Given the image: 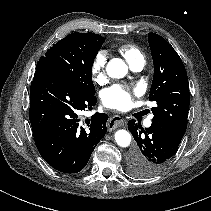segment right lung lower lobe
Masks as SVG:
<instances>
[{"label": "right lung lower lobe", "mask_w": 211, "mask_h": 211, "mask_svg": "<svg viewBox=\"0 0 211 211\" xmlns=\"http://www.w3.org/2000/svg\"><path fill=\"white\" fill-rule=\"evenodd\" d=\"M95 95L47 70H36L30 87V123L38 151L54 169L77 173L107 132L108 115L95 113L79 124L78 111L92 109Z\"/></svg>", "instance_id": "98d812e1"}]
</instances>
